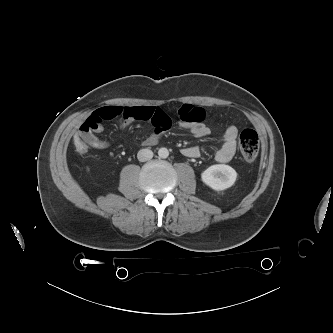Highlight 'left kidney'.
Returning <instances> with one entry per match:
<instances>
[{"label":"left kidney","instance_id":"obj_1","mask_svg":"<svg viewBox=\"0 0 333 333\" xmlns=\"http://www.w3.org/2000/svg\"><path fill=\"white\" fill-rule=\"evenodd\" d=\"M202 181L210 188L220 191L231 187L237 178L236 171L229 165L217 164L201 174Z\"/></svg>","mask_w":333,"mask_h":333}]
</instances>
